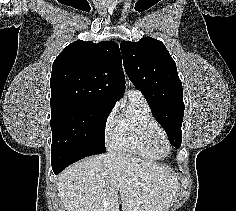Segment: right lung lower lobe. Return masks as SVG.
Returning <instances> with one entry per match:
<instances>
[{"mask_svg":"<svg viewBox=\"0 0 236 211\" xmlns=\"http://www.w3.org/2000/svg\"><path fill=\"white\" fill-rule=\"evenodd\" d=\"M101 153L103 152L92 148L81 147L51 150L52 169L57 175L73 162H76L87 156Z\"/></svg>","mask_w":236,"mask_h":211,"instance_id":"obj_1","label":"right lung lower lobe"}]
</instances>
